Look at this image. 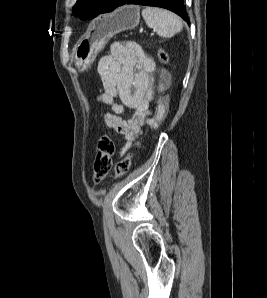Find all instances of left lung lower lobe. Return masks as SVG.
Segmentation results:
<instances>
[{"label": "left lung lower lobe", "mask_w": 267, "mask_h": 298, "mask_svg": "<svg viewBox=\"0 0 267 298\" xmlns=\"http://www.w3.org/2000/svg\"><path fill=\"white\" fill-rule=\"evenodd\" d=\"M124 4H140L166 8L181 16L185 21L188 22V24L190 23L187 19V13L183 4V0H117L113 10Z\"/></svg>", "instance_id": "left-lung-lower-lobe-1"}]
</instances>
